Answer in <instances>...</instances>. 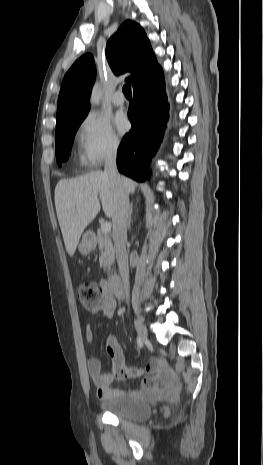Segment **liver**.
<instances>
[{"instance_id": "liver-1", "label": "liver", "mask_w": 263, "mask_h": 465, "mask_svg": "<svg viewBox=\"0 0 263 465\" xmlns=\"http://www.w3.org/2000/svg\"><path fill=\"white\" fill-rule=\"evenodd\" d=\"M126 191L135 192L137 183L122 176ZM99 196V198H98ZM112 217L116 205V188L101 171L72 179H62L55 187V207L66 250L73 256L84 229L101 209Z\"/></svg>"}]
</instances>
